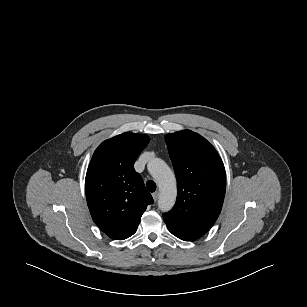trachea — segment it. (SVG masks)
Instances as JSON below:
<instances>
[{
	"label": "trachea",
	"mask_w": 307,
	"mask_h": 307,
	"mask_svg": "<svg viewBox=\"0 0 307 307\" xmlns=\"http://www.w3.org/2000/svg\"><path fill=\"white\" fill-rule=\"evenodd\" d=\"M146 187L150 192H154L156 190V183L152 180L146 182Z\"/></svg>",
	"instance_id": "3493384b"
}]
</instances>
